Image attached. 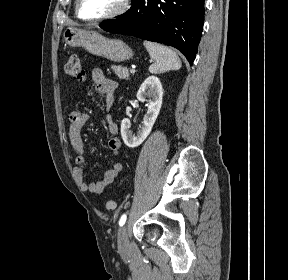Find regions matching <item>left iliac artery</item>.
<instances>
[{
	"mask_svg": "<svg viewBox=\"0 0 288 280\" xmlns=\"http://www.w3.org/2000/svg\"><path fill=\"white\" fill-rule=\"evenodd\" d=\"M126 218H127V213H123L120 220H119L120 226H123L125 224Z\"/></svg>",
	"mask_w": 288,
	"mask_h": 280,
	"instance_id": "44dca946",
	"label": "left iliac artery"
}]
</instances>
